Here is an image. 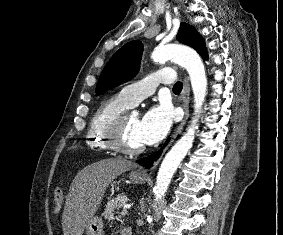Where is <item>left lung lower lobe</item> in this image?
<instances>
[{
    "instance_id": "obj_1",
    "label": "left lung lower lobe",
    "mask_w": 283,
    "mask_h": 235,
    "mask_svg": "<svg viewBox=\"0 0 283 235\" xmlns=\"http://www.w3.org/2000/svg\"><path fill=\"white\" fill-rule=\"evenodd\" d=\"M160 152H156L146 158H142L139 159L138 161H136L137 163H139L140 165L144 166L145 168H150L154 162V160H156L157 158H159Z\"/></svg>"
}]
</instances>
